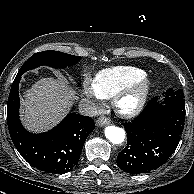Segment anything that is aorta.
<instances>
[{
  "label": "aorta",
  "instance_id": "762f6f07",
  "mask_svg": "<svg viewBox=\"0 0 194 194\" xmlns=\"http://www.w3.org/2000/svg\"><path fill=\"white\" fill-rule=\"evenodd\" d=\"M106 138L113 144H121L125 139V131L116 126H107L105 128Z\"/></svg>",
  "mask_w": 194,
  "mask_h": 194
}]
</instances>
